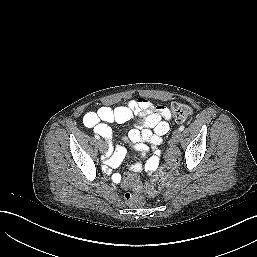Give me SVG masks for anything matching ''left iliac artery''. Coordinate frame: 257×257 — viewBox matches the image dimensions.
<instances>
[{"label": "left iliac artery", "instance_id": "44dca946", "mask_svg": "<svg viewBox=\"0 0 257 257\" xmlns=\"http://www.w3.org/2000/svg\"><path fill=\"white\" fill-rule=\"evenodd\" d=\"M184 128H185V126H184V125H181V126L179 127V130H180V131H183Z\"/></svg>", "mask_w": 257, "mask_h": 257}]
</instances>
